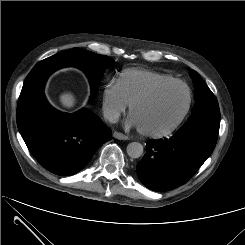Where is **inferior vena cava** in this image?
Here are the masks:
<instances>
[{
	"instance_id": "obj_1",
	"label": "inferior vena cava",
	"mask_w": 245,
	"mask_h": 245,
	"mask_svg": "<svg viewBox=\"0 0 245 245\" xmlns=\"http://www.w3.org/2000/svg\"><path fill=\"white\" fill-rule=\"evenodd\" d=\"M119 113L116 111H105L104 118L107 119L110 123H116L119 119Z\"/></svg>"
}]
</instances>
